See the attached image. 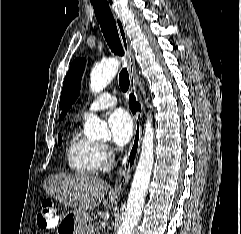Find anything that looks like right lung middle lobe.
Listing matches in <instances>:
<instances>
[{
    "label": "right lung middle lobe",
    "instance_id": "dd1d6c3e",
    "mask_svg": "<svg viewBox=\"0 0 241 234\" xmlns=\"http://www.w3.org/2000/svg\"><path fill=\"white\" fill-rule=\"evenodd\" d=\"M61 142H62V138H61V135L58 136V143L59 145H61Z\"/></svg>",
    "mask_w": 241,
    "mask_h": 234
}]
</instances>
